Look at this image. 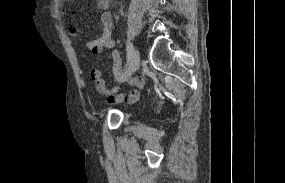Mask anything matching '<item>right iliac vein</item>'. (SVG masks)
Masks as SVG:
<instances>
[{"label": "right iliac vein", "mask_w": 285, "mask_h": 183, "mask_svg": "<svg viewBox=\"0 0 285 183\" xmlns=\"http://www.w3.org/2000/svg\"><path fill=\"white\" fill-rule=\"evenodd\" d=\"M140 65V57H139V52L136 51L131 59V62L129 64V67L125 73V76L123 78V80H125L126 78L130 77L138 68Z\"/></svg>", "instance_id": "right-iliac-vein-1"}]
</instances>
